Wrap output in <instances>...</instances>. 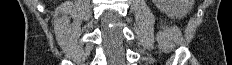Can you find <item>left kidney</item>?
<instances>
[{
  "instance_id": "5707ae66",
  "label": "left kidney",
  "mask_w": 232,
  "mask_h": 65,
  "mask_svg": "<svg viewBox=\"0 0 232 65\" xmlns=\"http://www.w3.org/2000/svg\"><path fill=\"white\" fill-rule=\"evenodd\" d=\"M157 8L172 18H183L192 9L194 0H153Z\"/></svg>"
}]
</instances>
